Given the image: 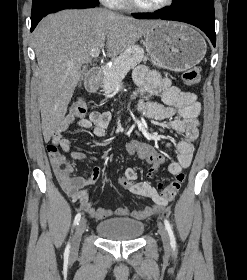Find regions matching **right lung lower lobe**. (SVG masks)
<instances>
[{
    "mask_svg": "<svg viewBox=\"0 0 247 280\" xmlns=\"http://www.w3.org/2000/svg\"><path fill=\"white\" fill-rule=\"evenodd\" d=\"M97 5L92 4V3H88V2H66V3H62L59 5H56L54 7H52L49 11H47L42 17L46 16L49 13H52L54 11H58V10H62V9H68V8H92L95 7ZM38 18L34 21H31V31L36 27V25L38 24V22L42 19Z\"/></svg>",
    "mask_w": 247,
    "mask_h": 280,
    "instance_id": "right-lung-lower-lobe-1",
    "label": "right lung lower lobe"
}]
</instances>
